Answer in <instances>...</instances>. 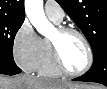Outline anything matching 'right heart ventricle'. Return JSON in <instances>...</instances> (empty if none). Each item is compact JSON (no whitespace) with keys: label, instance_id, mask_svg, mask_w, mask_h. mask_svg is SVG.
<instances>
[{"label":"right heart ventricle","instance_id":"1","mask_svg":"<svg viewBox=\"0 0 107 89\" xmlns=\"http://www.w3.org/2000/svg\"><path fill=\"white\" fill-rule=\"evenodd\" d=\"M35 71H37L39 75L48 77H57L62 74L54 63L50 40L47 38L42 39V54Z\"/></svg>","mask_w":107,"mask_h":89}]
</instances>
